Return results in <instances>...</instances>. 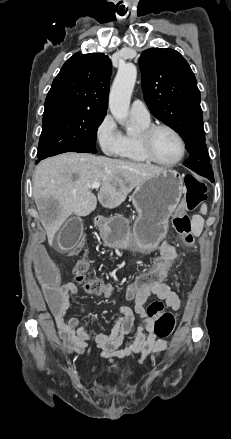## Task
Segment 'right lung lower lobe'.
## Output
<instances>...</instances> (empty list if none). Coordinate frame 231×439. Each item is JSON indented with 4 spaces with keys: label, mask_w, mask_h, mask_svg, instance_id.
I'll return each instance as SVG.
<instances>
[{
    "label": "right lung lower lobe",
    "mask_w": 231,
    "mask_h": 439,
    "mask_svg": "<svg viewBox=\"0 0 231 439\" xmlns=\"http://www.w3.org/2000/svg\"><path fill=\"white\" fill-rule=\"evenodd\" d=\"M40 160H42V159L38 158V160L36 161V163H38Z\"/></svg>",
    "instance_id": "98d812e1"
}]
</instances>
